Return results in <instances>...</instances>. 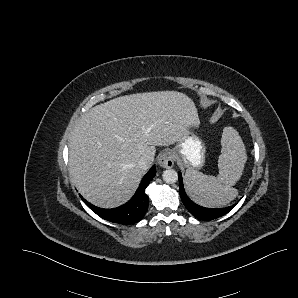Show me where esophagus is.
<instances>
[{"label":"esophagus","mask_w":298,"mask_h":298,"mask_svg":"<svg viewBox=\"0 0 298 298\" xmlns=\"http://www.w3.org/2000/svg\"><path fill=\"white\" fill-rule=\"evenodd\" d=\"M158 163L163 168H172L174 165V156L170 150L163 151L158 157Z\"/></svg>","instance_id":"34e87169"}]
</instances>
